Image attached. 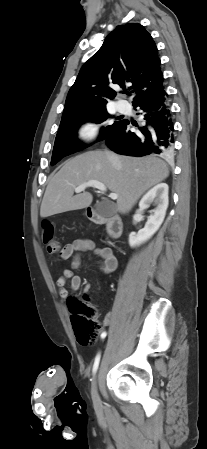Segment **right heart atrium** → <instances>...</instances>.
Segmentation results:
<instances>
[{"mask_svg": "<svg viewBox=\"0 0 207 449\" xmlns=\"http://www.w3.org/2000/svg\"><path fill=\"white\" fill-rule=\"evenodd\" d=\"M99 131V126L94 121H85L83 122L78 129V135L82 141H91L93 140Z\"/></svg>", "mask_w": 207, "mask_h": 449, "instance_id": "obj_1", "label": "right heart atrium"}]
</instances>
